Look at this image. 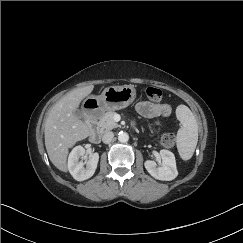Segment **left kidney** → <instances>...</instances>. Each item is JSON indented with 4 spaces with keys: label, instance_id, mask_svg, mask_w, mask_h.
Segmentation results:
<instances>
[{
    "label": "left kidney",
    "instance_id": "left-kidney-1",
    "mask_svg": "<svg viewBox=\"0 0 243 243\" xmlns=\"http://www.w3.org/2000/svg\"><path fill=\"white\" fill-rule=\"evenodd\" d=\"M162 163L157 166L156 162L147 160L144 166L148 173L158 180L170 181L177 177L176 160L174 154L169 150H160Z\"/></svg>",
    "mask_w": 243,
    "mask_h": 243
}]
</instances>
